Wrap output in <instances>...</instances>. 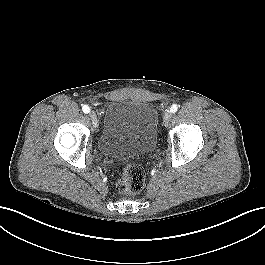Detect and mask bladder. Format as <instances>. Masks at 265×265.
I'll use <instances>...</instances> for the list:
<instances>
[{
  "label": "bladder",
  "instance_id": "31cf9c89",
  "mask_svg": "<svg viewBox=\"0 0 265 265\" xmlns=\"http://www.w3.org/2000/svg\"><path fill=\"white\" fill-rule=\"evenodd\" d=\"M157 123V109L149 102L110 101L98 141L99 150L121 159L145 155L156 145Z\"/></svg>",
  "mask_w": 265,
  "mask_h": 265
}]
</instances>
